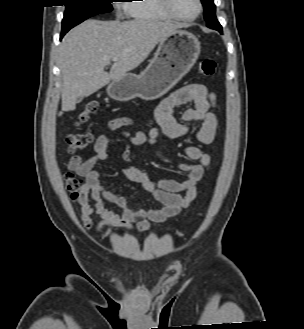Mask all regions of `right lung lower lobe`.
Wrapping results in <instances>:
<instances>
[{
  "instance_id": "1",
  "label": "right lung lower lobe",
  "mask_w": 304,
  "mask_h": 329,
  "mask_svg": "<svg viewBox=\"0 0 304 329\" xmlns=\"http://www.w3.org/2000/svg\"><path fill=\"white\" fill-rule=\"evenodd\" d=\"M65 35V33H61V37H60V39H62V37Z\"/></svg>"
}]
</instances>
